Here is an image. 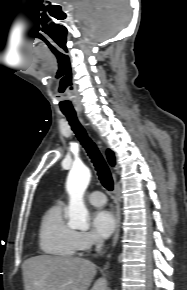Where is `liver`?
<instances>
[{
	"instance_id": "1",
	"label": "liver",
	"mask_w": 187,
	"mask_h": 290,
	"mask_svg": "<svg viewBox=\"0 0 187 290\" xmlns=\"http://www.w3.org/2000/svg\"><path fill=\"white\" fill-rule=\"evenodd\" d=\"M25 290H88L96 274V265L83 258L39 255L22 265ZM91 290H107L99 278Z\"/></svg>"
}]
</instances>
